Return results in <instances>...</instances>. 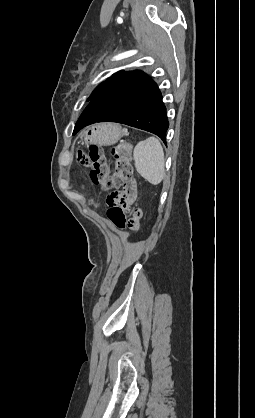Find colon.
Instances as JSON below:
<instances>
[{"label":"colon","instance_id":"obj_1","mask_svg":"<svg viewBox=\"0 0 255 418\" xmlns=\"http://www.w3.org/2000/svg\"><path fill=\"white\" fill-rule=\"evenodd\" d=\"M111 155L115 164L112 173L108 170L105 158L98 146L90 147L88 154L82 151L78 152L79 162L90 166V179L102 192H108L119 187L130 179L133 172L131 145L129 143L123 142L114 146L111 150ZM124 202L125 197L122 193L112 191L107 197V204L109 205L108 218L118 228L128 227L132 230H137L142 211L136 204L132 218L127 219L126 211L123 208Z\"/></svg>","mask_w":255,"mask_h":418}]
</instances>
